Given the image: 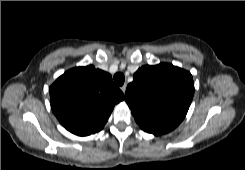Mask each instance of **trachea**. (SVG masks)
<instances>
[{
    "label": "trachea",
    "instance_id": "3493384b",
    "mask_svg": "<svg viewBox=\"0 0 245 170\" xmlns=\"http://www.w3.org/2000/svg\"><path fill=\"white\" fill-rule=\"evenodd\" d=\"M114 81L116 83V85L118 86H122L124 84L125 81V77L124 74L118 72L114 75Z\"/></svg>",
    "mask_w": 245,
    "mask_h": 170
}]
</instances>
